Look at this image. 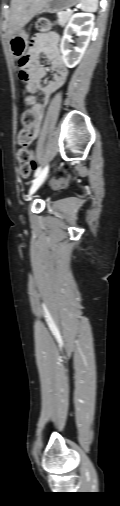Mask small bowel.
<instances>
[{
	"mask_svg": "<svg viewBox=\"0 0 120 506\" xmlns=\"http://www.w3.org/2000/svg\"><path fill=\"white\" fill-rule=\"evenodd\" d=\"M41 56H45L51 62V69L54 72L53 78L44 85L41 84V80L46 74V68L40 63ZM27 59L26 90L32 94L41 92L44 100L42 104L35 103L31 107L36 116L32 132L33 137L37 138L47 102L51 95L64 84L68 69L62 60L56 35H36L32 41Z\"/></svg>",
	"mask_w": 120,
	"mask_h": 506,
	"instance_id": "1",
	"label": "small bowel"
}]
</instances>
